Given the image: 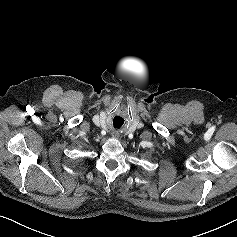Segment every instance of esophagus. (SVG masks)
Here are the masks:
<instances>
[{
    "label": "esophagus",
    "mask_w": 237,
    "mask_h": 237,
    "mask_svg": "<svg viewBox=\"0 0 237 237\" xmlns=\"http://www.w3.org/2000/svg\"><path fill=\"white\" fill-rule=\"evenodd\" d=\"M112 136H113V138H117V137H118V134L113 133Z\"/></svg>",
    "instance_id": "1"
}]
</instances>
